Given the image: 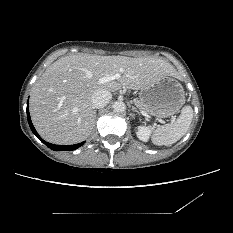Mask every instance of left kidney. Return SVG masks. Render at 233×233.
<instances>
[{"label":"left kidney","instance_id":"left-kidney-1","mask_svg":"<svg viewBox=\"0 0 233 233\" xmlns=\"http://www.w3.org/2000/svg\"><path fill=\"white\" fill-rule=\"evenodd\" d=\"M136 134L141 141L148 142L151 135V129L146 126H138Z\"/></svg>","mask_w":233,"mask_h":233}]
</instances>
